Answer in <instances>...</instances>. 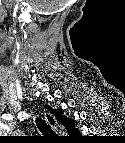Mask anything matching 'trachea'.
Here are the masks:
<instances>
[{
	"label": "trachea",
	"mask_w": 125,
	"mask_h": 143,
	"mask_svg": "<svg viewBox=\"0 0 125 143\" xmlns=\"http://www.w3.org/2000/svg\"><path fill=\"white\" fill-rule=\"evenodd\" d=\"M36 125H37L38 129L40 130V132H42V134L44 136L51 137L54 135L51 128L41 118L38 117L36 119Z\"/></svg>",
	"instance_id": "1"
}]
</instances>
